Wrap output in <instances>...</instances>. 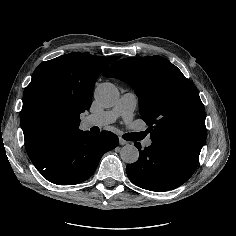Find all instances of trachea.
I'll return each instance as SVG.
<instances>
[{
  "mask_svg": "<svg viewBox=\"0 0 236 236\" xmlns=\"http://www.w3.org/2000/svg\"><path fill=\"white\" fill-rule=\"evenodd\" d=\"M129 133L122 135L123 139H127L129 137Z\"/></svg>",
  "mask_w": 236,
  "mask_h": 236,
  "instance_id": "trachea-1",
  "label": "trachea"
}]
</instances>
